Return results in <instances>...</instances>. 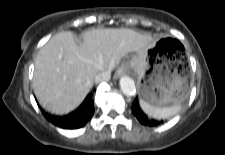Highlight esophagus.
I'll use <instances>...</instances> for the list:
<instances>
[{
  "label": "esophagus",
  "mask_w": 225,
  "mask_h": 155,
  "mask_svg": "<svg viewBox=\"0 0 225 155\" xmlns=\"http://www.w3.org/2000/svg\"><path fill=\"white\" fill-rule=\"evenodd\" d=\"M128 73V66L126 64L121 65L115 72L114 77L119 78L120 76Z\"/></svg>",
  "instance_id": "obj_1"
}]
</instances>
